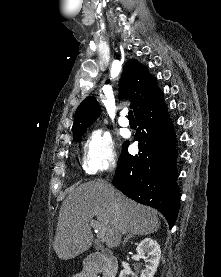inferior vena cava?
I'll use <instances>...</instances> for the list:
<instances>
[{"instance_id":"602c4592","label":"inferior vena cava","mask_w":221,"mask_h":277,"mask_svg":"<svg viewBox=\"0 0 221 277\" xmlns=\"http://www.w3.org/2000/svg\"><path fill=\"white\" fill-rule=\"evenodd\" d=\"M114 170H115V166H110L109 172H110L111 174H113Z\"/></svg>"}]
</instances>
